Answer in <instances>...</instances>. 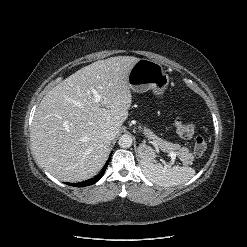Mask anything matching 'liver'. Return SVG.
Returning <instances> with one entry per match:
<instances>
[{
    "label": "liver",
    "instance_id": "liver-1",
    "mask_svg": "<svg viewBox=\"0 0 247 247\" xmlns=\"http://www.w3.org/2000/svg\"><path fill=\"white\" fill-rule=\"evenodd\" d=\"M139 58L116 56L81 68L50 90L36 109L31 145L37 162L55 178L79 182L104 166L110 140L128 117L129 73ZM101 96L96 103L91 92Z\"/></svg>",
    "mask_w": 247,
    "mask_h": 247
}]
</instances>
